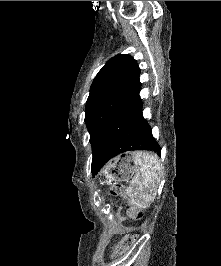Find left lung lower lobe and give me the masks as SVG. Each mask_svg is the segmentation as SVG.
<instances>
[{
	"label": "left lung lower lobe",
	"mask_w": 221,
	"mask_h": 266,
	"mask_svg": "<svg viewBox=\"0 0 221 266\" xmlns=\"http://www.w3.org/2000/svg\"><path fill=\"white\" fill-rule=\"evenodd\" d=\"M140 88L123 103L110 122L92 159L93 176L110 159L127 151L151 150L160 155L161 148L142 114Z\"/></svg>",
	"instance_id": "0a47b994"
}]
</instances>
